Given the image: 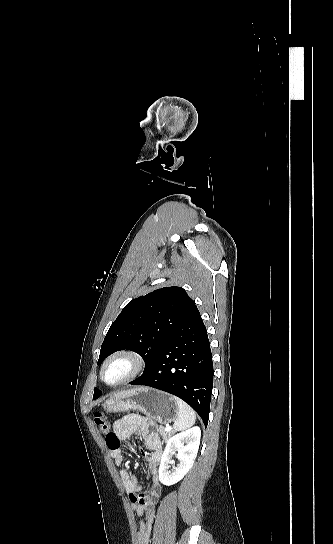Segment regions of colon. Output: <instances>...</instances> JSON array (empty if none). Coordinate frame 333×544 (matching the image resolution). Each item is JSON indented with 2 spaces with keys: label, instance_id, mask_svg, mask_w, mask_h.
Listing matches in <instances>:
<instances>
[{
  "label": "colon",
  "instance_id": "obj_1",
  "mask_svg": "<svg viewBox=\"0 0 333 544\" xmlns=\"http://www.w3.org/2000/svg\"><path fill=\"white\" fill-rule=\"evenodd\" d=\"M94 421L100 432L106 434V436L110 434L109 421L104 412H96L94 414Z\"/></svg>",
  "mask_w": 333,
  "mask_h": 544
}]
</instances>
